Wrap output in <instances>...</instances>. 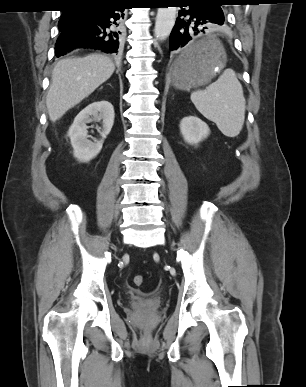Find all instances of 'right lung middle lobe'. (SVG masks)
<instances>
[{
    "instance_id": "dd1d6c3e",
    "label": "right lung middle lobe",
    "mask_w": 306,
    "mask_h": 387,
    "mask_svg": "<svg viewBox=\"0 0 306 387\" xmlns=\"http://www.w3.org/2000/svg\"><path fill=\"white\" fill-rule=\"evenodd\" d=\"M80 20L79 16L77 15V12L75 9H70L69 12L63 13V16L61 17L59 21V29H64L70 26L75 25Z\"/></svg>"
}]
</instances>
